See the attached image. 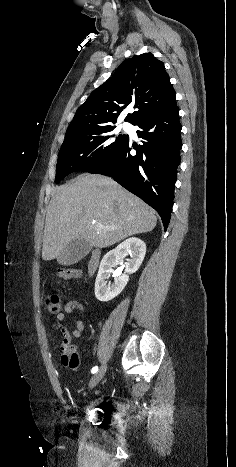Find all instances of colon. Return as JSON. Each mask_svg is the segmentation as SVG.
<instances>
[{"mask_svg":"<svg viewBox=\"0 0 236 467\" xmlns=\"http://www.w3.org/2000/svg\"><path fill=\"white\" fill-rule=\"evenodd\" d=\"M56 274L62 279H72L79 277L81 272L77 268H58ZM45 303L50 314L54 315L61 312L62 301L57 294H48L45 297ZM69 359L71 364L75 365L78 361V356L75 352H72Z\"/></svg>","mask_w":236,"mask_h":467,"instance_id":"obj_1","label":"colon"}]
</instances>
